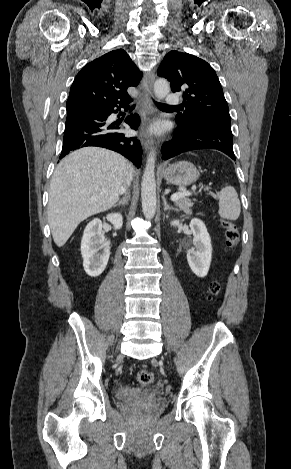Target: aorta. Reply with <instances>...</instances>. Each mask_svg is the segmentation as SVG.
Instances as JSON below:
<instances>
[{"label": "aorta", "instance_id": "aorta-1", "mask_svg": "<svg viewBox=\"0 0 291 469\" xmlns=\"http://www.w3.org/2000/svg\"><path fill=\"white\" fill-rule=\"evenodd\" d=\"M170 91L169 83L165 79H158L154 84V93L157 99L165 98ZM156 153L150 151L141 182L142 211L146 219H152L156 213V182H155Z\"/></svg>", "mask_w": 291, "mask_h": 469}]
</instances>
